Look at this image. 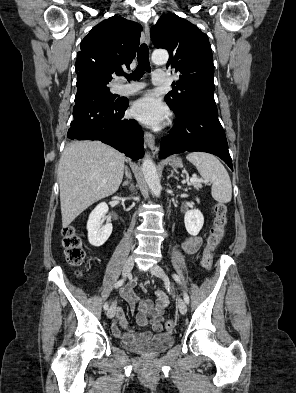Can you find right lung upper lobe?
<instances>
[{"label": "right lung upper lobe", "instance_id": "right-lung-upper-lobe-1", "mask_svg": "<svg viewBox=\"0 0 296 393\" xmlns=\"http://www.w3.org/2000/svg\"><path fill=\"white\" fill-rule=\"evenodd\" d=\"M142 26L119 16L110 17L91 29L77 53V76L95 77L107 82L129 68L135 58Z\"/></svg>", "mask_w": 296, "mask_h": 393}]
</instances>
